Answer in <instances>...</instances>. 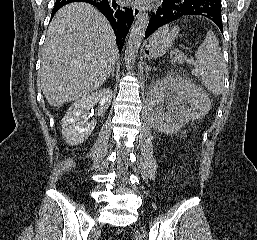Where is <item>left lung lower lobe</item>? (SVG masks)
<instances>
[{
	"label": "left lung lower lobe",
	"mask_w": 257,
	"mask_h": 240,
	"mask_svg": "<svg viewBox=\"0 0 257 240\" xmlns=\"http://www.w3.org/2000/svg\"><path fill=\"white\" fill-rule=\"evenodd\" d=\"M220 2L221 0H163L161 7L151 15L145 38L159 27L189 15L208 18L223 32Z\"/></svg>",
	"instance_id": "1"
}]
</instances>
